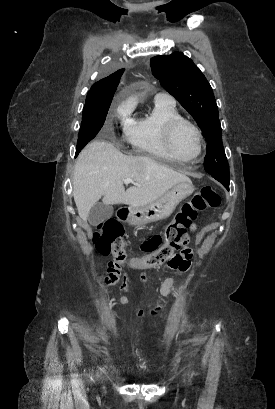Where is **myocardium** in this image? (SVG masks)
<instances>
[{
	"label": "myocardium",
	"instance_id": "obj_1",
	"mask_svg": "<svg viewBox=\"0 0 275 409\" xmlns=\"http://www.w3.org/2000/svg\"><path fill=\"white\" fill-rule=\"evenodd\" d=\"M188 126L196 139L197 151L192 157H199L202 152V139L199 129L195 124L184 118H178L170 121L165 127V146L171 157H178L174 152L173 141L176 131L182 127Z\"/></svg>",
	"mask_w": 275,
	"mask_h": 409
}]
</instances>
